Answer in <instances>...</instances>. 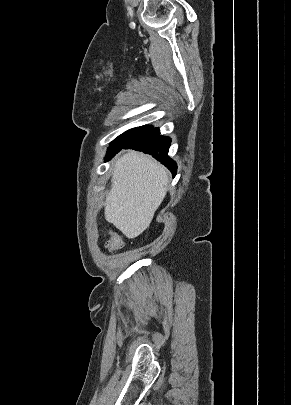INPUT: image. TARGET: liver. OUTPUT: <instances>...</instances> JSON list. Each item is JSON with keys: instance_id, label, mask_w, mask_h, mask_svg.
<instances>
[{"instance_id": "obj_1", "label": "liver", "mask_w": 291, "mask_h": 405, "mask_svg": "<svg viewBox=\"0 0 291 405\" xmlns=\"http://www.w3.org/2000/svg\"><path fill=\"white\" fill-rule=\"evenodd\" d=\"M168 183L164 166L148 155L129 151L114 164L104 203L105 219L126 237L139 236L150 226Z\"/></svg>"}]
</instances>
